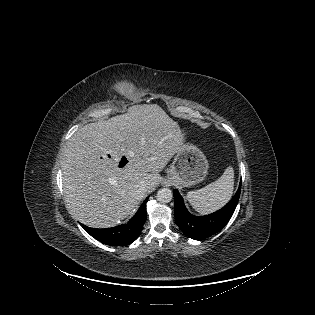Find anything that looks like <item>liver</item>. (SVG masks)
Listing matches in <instances>:
<instances>
[{
    "mask_svg": "<svg viewBox=\"0 0 315 315\" xmlns=\"http://www.w3.org/2000/svg\"><path fill=\"white\" fill-rule=\"evenodd\" d=\"M182 132L156 104L135 105L125 114L79 128L61 163L69 212L93 228L113 226L132 214L160 183L159 172L183 149ZM122 155L129 162L119 168ZM141 181L148 185L144 194L137 192Z\"/></svg>",
    "mask_w": 315,
    "mask_h": 315,
    "instance_id": "liver-1",
    "label": "liver"
}]
</instances>
